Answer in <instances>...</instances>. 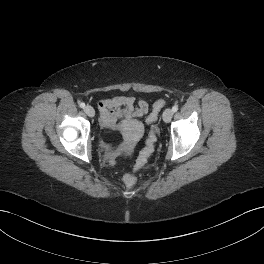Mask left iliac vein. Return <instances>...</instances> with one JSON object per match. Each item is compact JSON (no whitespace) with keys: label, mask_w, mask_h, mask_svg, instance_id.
I'll return each mask as SVG.
<instances>
[{"label":"left iliac vein","mask_w":264,"mask_h":264,"mask_svg":"<svg viewBox=\"0 0 264 264\" xmlns=\"http://www.w3.org/2000/svg\"><path fill=\"white\" fill-rule=\"evenodd\" d=\"M172 116H173V110L168 108L166 109L164 112H163V120L168 123L171 121L172 119Z\"/></svg>","instance_id":"4c4485c4"}]
</instances>
